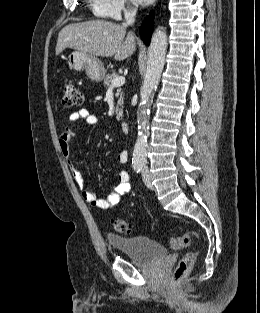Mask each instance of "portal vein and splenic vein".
I'll list each match as a JSON object with an SVG mask.
<instances>
[{
	"instance_id": "obj_1",
	"label": "portal vein and splenic vein",
	"mask_w": 260,
	"mask_h": 313,
	"mask_svg": "<svg viewBox=\"0 0 260 313\" xmlns=\"http://www.w3.org/2000/svg\"><path fill=\"white\" fill-rule=\"evenodd\" d=\"M125 83V77L124 76H119L116 77L112 83H111V88H115V87H120Z\"/></svg>"
}]
</instances>
